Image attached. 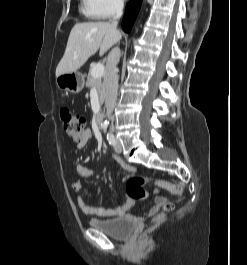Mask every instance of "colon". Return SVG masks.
I'll list each match as a JSON object with an SVG mask.
<instances>
[{
  "label": "colon",
  "mask_w": 247,
  "mask_h": 265,
  "mask_svg": "<svg viewBox=\"0 0 247 265\" xmlns=\"http://www.w3.org/2000/svg\"><path fill=\"white\" fill-rule=\"evenodd\" d=\"M61 123L64 130L75 141L80 142L83 140L86 132L85 119L82 115L73 113L68 108H63L60 112ZM148 178L145 176H132L125 180V191L129 198L135 200H144L148 197V192L144 188ZM156 184L159 187L167 189L172 193L181 196L183 193V186L179 183H171L165 180H158ZM163 212L172 210L173 204L165 202L162 206ZM163 214L158 215L155 221H160Z\"/></svg>",
  "instance_id": "colon-1"
}]
</instances>
